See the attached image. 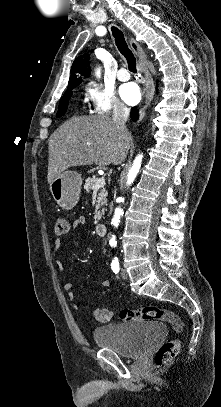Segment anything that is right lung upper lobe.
Returning a JSON list of instances; mask_svg holds the SVG:
<instances>
[{
	"instance_id": "1",
	"label": "right lung upper lobe",
	"mask_w": 221,
	"mask_h": 407,
	"mask_svg": "<svg viewBox=\"0 0 221 407\" xmlns=\"http://www.w3.org/2000/svg\"><path fill=\"white\" fill-rule=\"evenodd\" d=\"M89 59L90 57L88 54H83L74 60L71 68V75L69 78L67 90L74 89L75 86L79 85L82 82L81 76L85 77L89 76L90 74V68H88Z\"/></svg>"
}]
</instances>
